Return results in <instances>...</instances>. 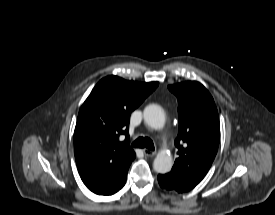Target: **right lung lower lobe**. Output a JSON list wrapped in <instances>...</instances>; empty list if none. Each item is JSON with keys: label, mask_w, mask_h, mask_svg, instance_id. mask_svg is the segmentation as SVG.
I'll return each instance as SVG.
<instances>
[{"label": "right lung lower lobe", "mask_w": 275, "mask_h": 215, "mask_svg": "<svg viewBox=\"0 0 275 215\" xmlns=\"http://www.w3.org/2000/svg\"><path fill=\"white\" fill-rule=\"evenodd\" d=\"M130 164L116 172L102 173L84 184L96 194H114L124 186Z\"/></svg>", "instance_id": "obj_1"}]
</instances>
